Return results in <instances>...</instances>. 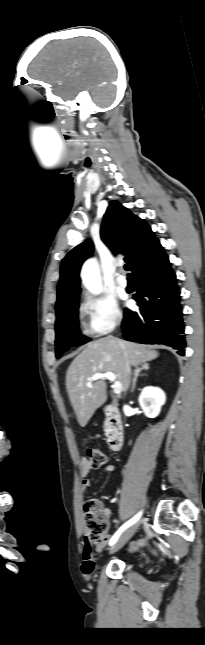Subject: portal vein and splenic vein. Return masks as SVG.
Returning <instances> with one entry per match:
<instances>
[{"instance_id": "portal-vein-and-splenic-vein-1", "label": "portal vein and splenic vein", "mask_w": 205, "mask_h": 645, "mask_svg": "<svg viewBox=\"0 0 205 645\" xmlns=\"http://www.w3.org/2000/svg\"><path fill=\"white\" fill-rule=\"evenodd\" d=\"M107 378L109 381L114 382L113 391L115 394H120L122 391V384L116 381V376L112 372L96 373L87 382L88 387H92V383L98 379Z\"/></svg>"}]
</instances>
